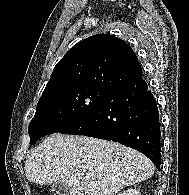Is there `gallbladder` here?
<instances>
[{
    "instance_id": "obj_1",
    "label": "gallbladder",
    "mask_w": 189,
    "mask_h": 195,
    "mask_svg": "<svg viewBox=\"0 0 189 195\" xmlns=\"http://www.w3.org/2000/svg\"><path fill=\"white\" fill-rule=\"evenodd\" d=\"M52 192L56 193V195H69V187L65 183L56 182L51 186Z\"/></svg>"
}]
</instances>
